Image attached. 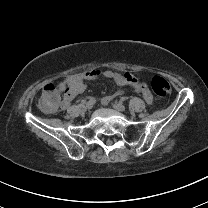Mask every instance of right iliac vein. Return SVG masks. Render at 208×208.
<instances>
[{"label":"right iliac vein","mask_w":208,"mask_h":208,"mask_svg":"<svg viewBox=\"0 0 208 208\" xmlns=\"http://www.w3.org/2000/svg\"><path fill=\"white\" fill-rule=\"evenodd\" d=\"M93 105H94V103L93 102H87V104H86V108L88 109V110H91L92 108H93Z\"/></svg>","instance_id":"obj_1"}]
</instances>
